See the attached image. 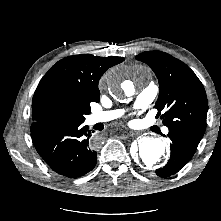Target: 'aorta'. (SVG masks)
I'll use <instances>...</instances> for the list:
<instances>
[{"label": "aorta", "mask_w": 221, "mask_h": 221, "mask_svg": "<svg viewBox=\"0 0 221 221\" xmlns=\"http://www.w3.org/2000/svg\"><path fill=\"white\" fill-rule=\"evenodd\" d=\"M125 92L127 96L134 94V85L131 81H124L119 84L117 80H109L108 87L111 91L118 87ZM166 144L163 140L154 137H144L138 141L137 150L133 157L140 165L146 168H152L165 158Z\"/></svg>", "instance_id": "obj_1"}]
</instances>
